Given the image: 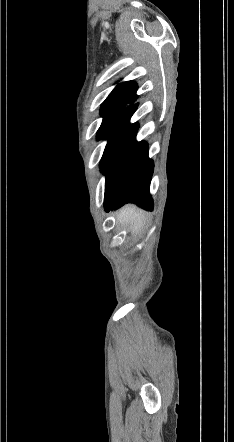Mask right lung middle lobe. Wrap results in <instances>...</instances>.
Instances as JSON below:
<instances>
[{
  "mask_svg": "<svg viewBox=\"0 0 234 442\" xmlns=\"http://www.w3.org/2000/svg\"><path fill=\"white\" fill-rule=\"evenodd\" d=\"M117 115L103 116L102 124L97 132V139L100 140L104 137L112 123L115 121Z\"/></svg>",
  "mask_w": 234,
  "mask_h": 442,
  "instance_id": "dd1d6c3e",
  "label": "right lung middle lobe"
}]
</instances>
